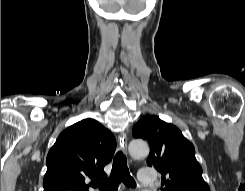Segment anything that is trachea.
<instances>
[{"mask_svg": "<svg viewBox=\"0 0 245 191\" xmlns=\"http://www.w3.org/2000/svg\"><path fill=\"white\" fill-rule=\"evenodd\" d=\"M121 182L128 187L136 186L135 180L129 173L125 155L121 151H118L113 160L111 175L98 187L100 191H118V186Z\"/></svg>", "mask_w": 245, "mask_h": 191, "instance_id": "obj_1", "label": "trachea"}]
</instances>
